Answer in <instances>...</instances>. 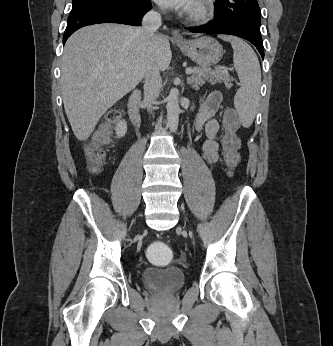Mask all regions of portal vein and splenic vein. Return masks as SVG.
Segmentation results:
<instances>
[{
  "label": "portal vein and splenic vein",
  "instance_id": "portal-vein-and-splenic-vein-1",
  "mask_svg": "<svg viewBox=\"0 0 333 346\" xmlns=\"http://www.w3.org/2000/svg\"><path fill=\"white\" fill-rule=\"evenodd\" d=\"M185 72H186V74L189 75V74L193 73V69L192 68H187Z\"/></svg>",
  "mask_w": 333,
  "mask_h": 346
}]
</instances>
